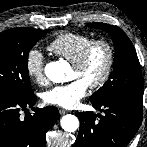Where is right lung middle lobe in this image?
<instances>
[{
    "label": "right lung middle lobe",
    "mask_w": 147,
    "mask_h": 147,
    "mask_svg": "<svg viewBox=\"0 0 147 147\" xmlns=\"http://www.w3.org/2000/svg\"><path fill=\"white\" fill-rule=\"evenodd\" d=\"M48 32L13 28L0 34V97L17 99L33 93L28 73V54Z\"/></svg>",
    "instance_id": "right-lung-middle-lobe-1"
}]
</instances>
